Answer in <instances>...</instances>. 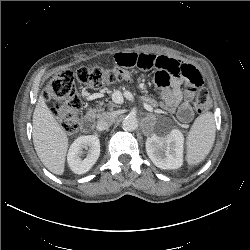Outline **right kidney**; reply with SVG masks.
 <instances>
[{
    "mask_svg": "<svg viewBox=\"0 0 250 250\" xmlns=\"http://www.w3.org/2000/svg\"><path fill=\"white\" fill-rule=\"evenodd\" d=\"M83 148H89L84 159L81 158ZM100 155V141L97 136L88 135L78 137L70 146L67 162L76 174L88 172Z\"/></svg>",
    "mask_w": 250,
    "mask_h": 250,
    "instance_id": "1",
    "label": "right kidney"
}]
</instances>
